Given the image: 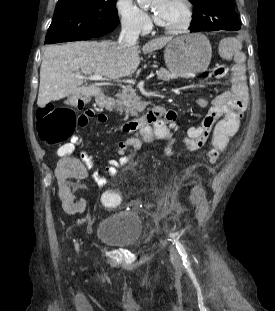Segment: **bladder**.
<instances>
[{
	"instance_id": "31cf9c89",
	"label": "bladder",
	"mask_w": 275,
	"mask_h": 311,
	"mask_svg": "<svg viewBox=\"0 0 275 311\" xmlns=\"http://www.w3.org/2000/svg\"><path fill=\"white\" fill-rule=\"evenodd\" d=\"M143 224L138 211H120L105 216L97 225L96 237L117 248H133L143 239Z\"/></svg>"
}]
</instances>
